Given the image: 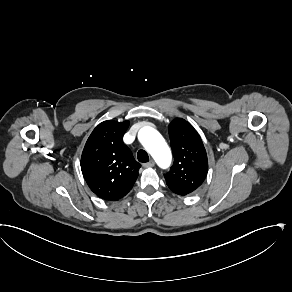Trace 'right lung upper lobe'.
Segmentation results:
<instances>
[{
  "mask_svg": "<svg viewBox=\"0 0 292 292\" xmlns=\"http://www.w3.org/2000/svg\"><path fill=\"white\" fill-rule=\"evenodd\" d=\"M129 121H104L89 136L81 156V170L98 197L117 201L133 187L141 165L122 138Z\"/></svg>",
  "mask_w": 292,
  "mask_h": 292,
  "instance_id": "obj_1",
  "label": "right lung upper lobe"
}]
</instances>
